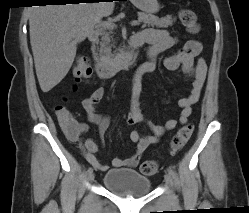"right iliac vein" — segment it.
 Wrapping results in <instances>:
<instances>
[{"mask_svg":"<svg viewBox=\"0 0 249 213\" xmlns=\"http://www.w3.org/2000/svg\"><path fill=\"white\" fill-rule=\"evenodd\" d=\"M94 178H95V175H94L93 172L88 175V181L89 182H92L94 180Z\"/></svg>","mask_w":249,"mask_h":213,"instance_id":"1","label":"right iliac vein"}]
</instances>
